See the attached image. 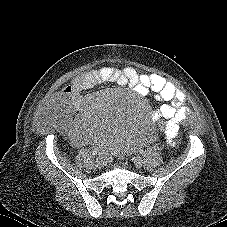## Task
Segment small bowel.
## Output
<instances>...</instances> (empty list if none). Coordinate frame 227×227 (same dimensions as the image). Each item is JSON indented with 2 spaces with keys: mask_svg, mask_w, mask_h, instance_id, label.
<instances>
[{
  "mask_svg": "<svg viewBox=\"0 0 227 227\" xmlns=\"http://www.w3.org/2000/svg\"><path fill=\"white\" fill-rule=\"evenodd\" d=\"M104 82H112L120 86H129L139 95L146 96L149 92L163 102L153 113L152 119L159 122L165 135V144L173 146L178 136V125L187 116L189 110L184 105L185 94L175 84L158 74H139L134 68L117 69L111 66L90 70L73 78L53 98V102H61L69 110H82L87 100L82 93ZM86 116L82 115L76 121L63 118L59 128L67 133L76 145H83L87 140L85 128ZM92 131L94 129L90 128Z\"/></svg>",
  "mask_w": 227,
  "mask_h": 227,
  "instance_id": "small-bowel-1",
  "label": "small bowel"
}]
</instances>
